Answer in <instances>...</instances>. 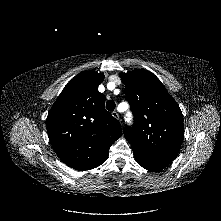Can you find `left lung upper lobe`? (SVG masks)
Segmentation results:
<instances>
[{
    "instance_id": "5c2ea615",
    "label": "left lung upper lobe",
    "mask_w": 221,
    "mask_h": 221,
    "mask_svg": "<svg viewBox=\"0 0 221 221\" xmlns=\"http://www.w3.org/2000/svg\"><path fill=\"white\" fill-rule=\"evenodd\" d=\"M120 78L134 115L133 126L124 131L134 155L170 164L176 158L184 136L180 107L148 70L120 73Z\"/></svg>"
}]
</instances>
